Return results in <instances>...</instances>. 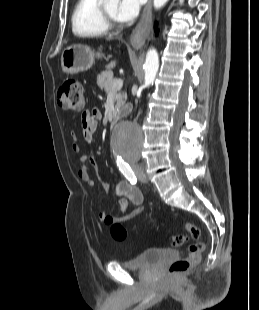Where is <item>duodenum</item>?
<instances>
[{
	"mask_svg": "<svg viewBox=\"0 0 259 310\" xmlns=\"http://www.w3.org/2000/svg\"><path fill=\"white\" fill-rule=\"evenodd\" d=\"M119 118V113L118 112H114L113 117H112V122H111V129L114 130L117 120Z\"/></svg>",
	"mask_w": 259,
	"mask_h": 310,
	"instance_id": "1",
	"label": "duodenum"
}]
</instances>
